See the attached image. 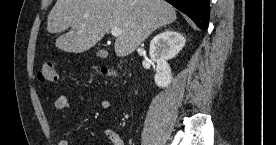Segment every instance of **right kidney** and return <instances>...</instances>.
<instances>
[{
  "label": "right kidney",
  "instance_id": "obj_1",
  "mask_svg": "<svg viewBox=\"0 0 276 145\" xmlns=\"http://www.w3.org/2000/svg\"><path fill=\"white\" fill-rule=\"evenodd\" d=\"M185 38L173 30H165L156 35L150 42L149 54L156 63L155 84L165 88L172 80L171 68L168 60L174 58L185 46Z\"/></svg>",
  "mask_w": 276,
  "mask_h": 145
}]
</instances>
